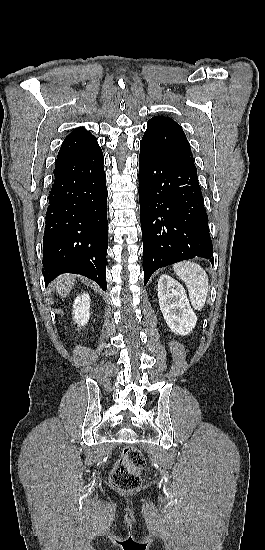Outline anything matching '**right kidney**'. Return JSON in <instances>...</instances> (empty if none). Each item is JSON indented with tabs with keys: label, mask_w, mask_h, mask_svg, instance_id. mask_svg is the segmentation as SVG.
Listing matches in <instances>:
<instances>
[{
	"label": "right kidney",
	"mask_w": 265,
	"mask_h": 550,
	"mask_svg": "<svg viewBox=\"0 0 265 550\" xmlns=\"http://www.w3.org/2000/svg\"><path fill=\"white\" fill-rule=\"evenodd\" d=\"M73 319L78 326H84L87 324L90 318V296L88 293L77 296L73 305Z\"/></svg>",
	"instance_id": "1"
}]
</instances>
